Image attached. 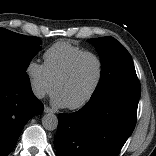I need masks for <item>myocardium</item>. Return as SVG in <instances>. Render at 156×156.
Segmentation results:
<instances>
[{"label":"myocardium","instance_id":"obj_1","mask_svg":"<svg viewBox=\"0 0 156 156\" xmlns=\"http://www.w3.org/2000/svg\"><path fill=\"white\" fill-rule=\"evenodd\" d=\"M87 56H91L97 60V62L99 64V75H98V78H97V81H96L94 87L92 88V90L89 92V94L83 100H81L80 102H78L74 105L67 106V108L70 110H78V109H81V108L85 107L86 105H88L93 100V98L96 96V94L98 93V91L102 85L103 79H104L105 65H104V61H103L102 57L96 52L84 51L73 58V60L69 63V65L67 66L65 71L56 80L55 86H54L55 92H56L58 86L61 83H63L64 81H66L71 76V74L73 73L78 62L82 58L87 57Z\"/></svg>","mask_w":156,"mask_h":156}]
</instances>
